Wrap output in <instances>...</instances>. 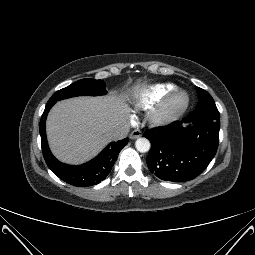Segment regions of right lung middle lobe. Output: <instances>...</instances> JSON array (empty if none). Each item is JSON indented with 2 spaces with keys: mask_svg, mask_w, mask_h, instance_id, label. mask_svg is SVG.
Here are the masks:
<instances>
[{
  "mask_svg": "<svg viewBox=\"0 0 255 255\" xmlns=\"http://www.w3.org/2000/svg\"><path fill=\"white\" fill-rule=\"evenodd\" d=\"M106 85L101 80L81 79L57 92L49 99L48 103H56L59 100L82 96V95H104L106 94Z\"/></svg>",
  "mask_w": 255,
  "mask_h": 255,
  "instance_id": "right-lung-middle-lobe-1",
  "label": "right lung middle lobe"
}]
</instances>
